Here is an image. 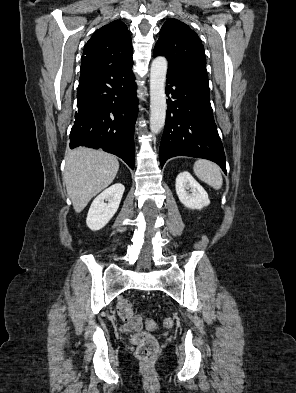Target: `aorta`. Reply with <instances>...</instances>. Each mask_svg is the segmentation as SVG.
<instances>
[{
	"label": "aorta",
	"instance_id": "obj_1",
	"mask_svg": "<svg viewBox=\"0 0 296 393\" xmlns=\"http://www.w3.org/2000/svg\"><path fill=\"white\" fill-rule=\"evenodd\" d=\"M167 60L163 56L156 57L150 71V130L153 134L161 131L166 118L165 82L167 75Z\"/></svg>",
	"mask_w": 296,
	"mask_h": 393
}]
</instances>
